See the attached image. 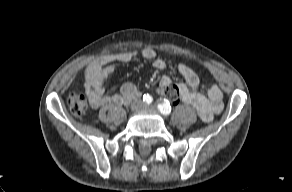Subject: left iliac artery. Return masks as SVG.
<instances>
[{
	"label": "left iliac artery",
	"instance_id": "obj_1",
	"mask_svg": "<svg viewBox=\"0 0 292 192\" xmlns=\"http://www.w3.org/2000/svg\"><path fill=\"white\" fill-rule=\"evenodd\" d=\"M158 109L164 115H169L172 110L168 101H163L162 103H159Z\"/></svg>",
	"mask_w": 292,
	"mask_h": 192
}]
</instances>
